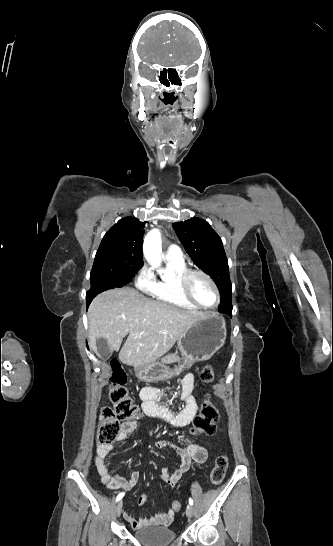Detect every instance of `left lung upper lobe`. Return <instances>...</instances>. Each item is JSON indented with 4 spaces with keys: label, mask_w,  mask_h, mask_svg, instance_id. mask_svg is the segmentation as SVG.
Segmentation results:
<instances>
[{
    "label": "left lung upper lobe",
    "mask_w": 333,
    "mask_h": 546,
    "mask_svg": "<svg viewBox=\"0 0 333 546\" xmlns=\"http://www.w3.org/2000/svg\"><path fill=\"white\" fill-rule=\"evenodd\" d=\"M178 238L193 262L215 281L221 295L219 312L232 316V284L221 238L200 218L173 223Z\"/></svg>",
    "instance_id": "1"
}]
</instances>
